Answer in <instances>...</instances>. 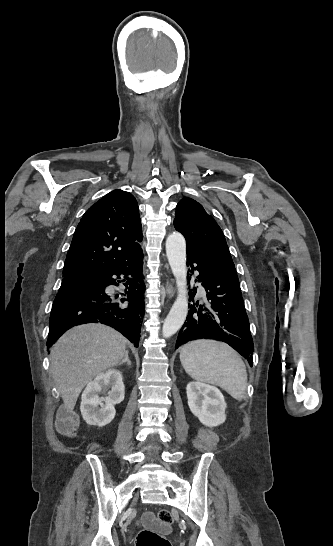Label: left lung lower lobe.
Returning a JSON list of instances; mask_svg holds the SVG:
<instances>
[{
  "label": "left lung lower lobe",
  "mask_w": 333,
  "mask_h": 546,
  "mask_svg": "<svg viewBox=\"0 0 333 546\" xmlns=\"http://www.w3.org/2000/svg\"><path fill=\"white\" fill-rule=\"evenodd\" d=\"M187 266L190 272L199 273L195 282L204 287L206 299L191 305L175 349L190 340L217 339L229 344L252 366L254 344L235 267L214 264L188 246ZM190 292L194 302L197 288Z\"/></svg>",
  "instance_id": "1"
}]
</instances>
